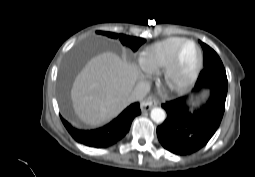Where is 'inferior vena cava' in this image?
I'll list each match as a JSON object with an SVG mask.
<instances>
[{
    "label": "inferior vena cava",
    "mask_w": 255,
    "mask_h": 177,
    "mask_svg": "<svg viewBox=\"0 0 255 177\" xmlns=\"http://www.w3.org/2000/svg\"><path fill=\"white\" fill-rule=\"evenodd\" d=\"M148 91H149V84L145 82H139L134 87L130 95L127 97L126 101L128 103L140 101L145 97Z\"/></svg>",
    "instance_id": "inferior-vena-cava-1"
}]
</instances>
